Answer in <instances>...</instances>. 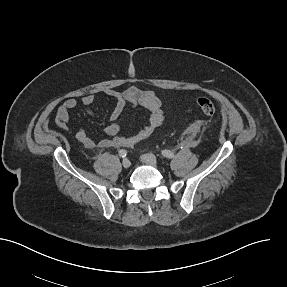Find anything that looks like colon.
Returning <instances> with one entry per match:
<instances>
[{
  "label": "colon",
  "instance_id": "colon-1",
  "mask_svg": "<svg viewBox=\"0 0 287 287\" xmlns=\"http://www.w3.org/2000/svg\"><path fill=\"white\" fill-rule=\"evenodd\" d=\"M197 105L201 112L207 116H212L216 111L214 103L206 97L198 98Z\"/></svg>",
  "mask_w": 287,
  "mask_h": 287
}]
</instances>
